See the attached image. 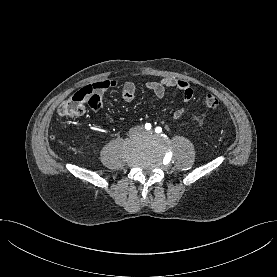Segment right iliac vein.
<instances>
[{
	"mask_svg": "<svg viewBox=\"0 0 277 277\" xmlns=\"http://www.w3.org/2000/svg\"><path fill=\"white\" fill-rule=\"evenodd\" d=\"M142 133V129L140 127H136L130 130L129 132V136L131 138H136L137 136H139Z\"/></svg>",
	"mask_w": 277,
	"mask_h": 277,
	"instance_id": "63e3f726",
	"label": "right iliac vein"
}]
</instances>
